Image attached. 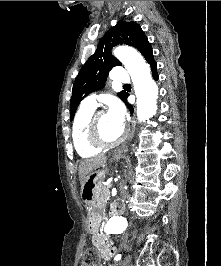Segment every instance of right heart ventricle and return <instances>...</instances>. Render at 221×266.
I'll return each mask as SVG.
<instances>
[{
    "label": "right heart ventricle",
    "instance_id": "obj_1",
    "mask_svg": "<svg viewBox=\"0 0 221 266\" xmlns=\"http://www.w3.org/2000/svg\"><path fill=\"white\" fill-rule=\"evenodd\" d=\"M93 112L94 108L81 105L75 115L73 122V145L78 155L83 158L96 156L101 151L100 148L92 146L87 140V125Z\"/></svg>",
    "mask_w": 221,
    "mask_h": 266
}]
</instances>
